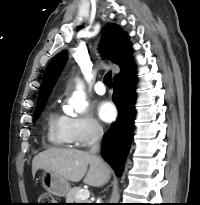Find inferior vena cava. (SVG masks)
I'll list each match as a JSON object with an SVG mask.
<instances>
[{
  "label": "inferior vena cava",
  "instance_id": "1",
  "mask_svg": "<svg viewBox=\"0 0 200 205\" xmlns=\"http://www.w3.org/2000/svg\"><path fill=\"white\" fill-rule=\"evenodd\" d=\"M103 136V129L99 124H94L91 131L90 154L96 155L100 150V142Z\"/></svg>",
  "mask_w": 200,
  "mask_h": 205
}]
</instances>
